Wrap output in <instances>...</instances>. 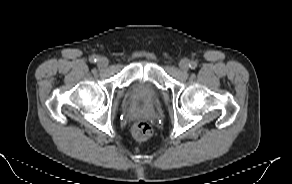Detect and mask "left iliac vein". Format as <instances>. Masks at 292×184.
<instances>
[{
    "label": "left iliac vein",
    "instance_id": "obj_1",
    "mask_svg": "<svg viewBox=\"0 0 292 184\" xmlns=\"http://www.w3.org/2000/svg\"><path fill=\"white\" fill-rule=\"evenodd\" d=\"M179 68H180L181 71L187 72L188 69H189V61H188V59H182L179 62Z\"/></svg>",
    "mask_w": 292,
    "mask_h": 184
}]
</instances>
